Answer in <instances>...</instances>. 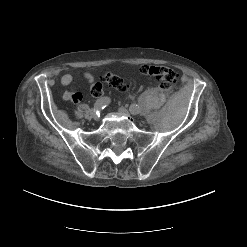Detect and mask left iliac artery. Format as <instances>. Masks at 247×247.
<instances>
[{
  "instance_id": "1",
  "label": "left iliac artery",
  "mask_w": 247,
  "mask_h": 247,
  "mask_svg": "<svg viewBox=\"0 0 247 247\" xmlns=\"http://www.w3.org/2000/svg\"><path fill=\"white\" fill-rule=\"evenodd\" d=\"M130 113L132 115H138L140 113V107L137 104H132L130 106Z\"/></svg>"
}]
</instances>
